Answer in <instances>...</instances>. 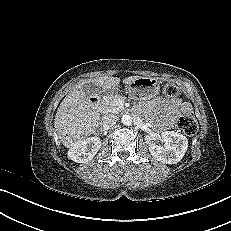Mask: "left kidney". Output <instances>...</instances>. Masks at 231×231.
Instances as JSON below:
<instances>
[{
	"instance_id": "obj_1",
	"label": "left kidney",
	"mask_w": 231,
	"mask_h": 231,
	"mask_svg": "<svg viewBox=\"0 0 231 231\" xmlns=\"http://www.w3.org/2000/svg\"><path fill=\"white\" fill-rule=\"evenodd\" d=\"M145 140L151 155L157 161L166 164H176L181 161L188 149L187 138L174 131H165L161 133L160 140L163 145H156L149 136H147Z\"/></svg>"
}]
</instances>
